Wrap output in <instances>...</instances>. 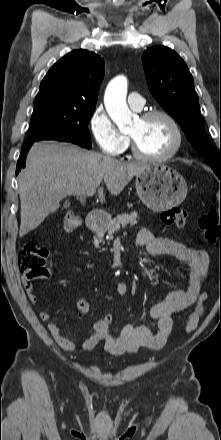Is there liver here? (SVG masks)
Returning a JSON list of instances; mask_svg holds the SVG:
<instances>
[{"mask_svg": "<svg viewBox=\"0 0 221 440\" xmlns=\"http://www.w3.org/2000/svg\"><path fill=\"white\" fill-rule=\"evenodd\" d=\"M149 165L123 162L75 145L42 141L28 152L26 167L18 176L21 203L19 236L36 229L57 211L68 195H84L98 189L105 202L101 182L112 195H119L129 181Z\"/></svg>", "mask_w": 221, "mask_h": 440, "instance_id": "6515ba94", "label": "liver"}]
</instances>
